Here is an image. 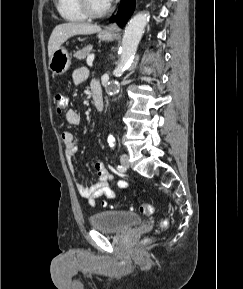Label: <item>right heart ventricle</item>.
<instances>
[{"label": "right heart ventricle", "instance_id": "e07e8e85", "mask_svg": "<svg viewBox=\"0 0 243 289\" xmlns=\"http://www.w3.org/2000/svg\"><path fill=\"white\" fill-rule=\"evenodd\" d=\"M56 8L60 16L67 21L81 22L88 18L81 10L78 0H56Z\"/></svg>", "mask_w": 243, "mask_h": 289}]
</instances>
